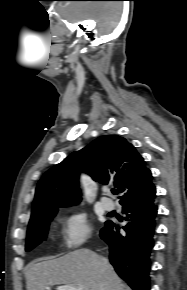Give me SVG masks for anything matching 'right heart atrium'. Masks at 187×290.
Masks as SVG:
<instances>
[{
	"label": "right heart atrium",
	"mask_w": 187,
	"mask_h": 290,
	"mask_svg": "<svg viewBox=\"0 0 187 290\" xmlns=\"http://www.w3.org/2000/svg\"><path fill=\"white\" fill-rule=\"evenodd\" d=\"M91 226L87 215L82 211H73L62 218V237L68 249L82 246L90 237Z\"/></svg>",
	"instance_id": "obj_1"
}]
</instances>
